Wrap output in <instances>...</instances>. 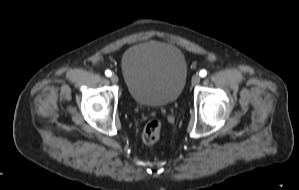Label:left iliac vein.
Instances as JSON below:
<instances>
[{
    "label": "left iliac vein",
    "instance_id": "4c4485c4",
    "mask_svg": "<svg viewBox=\"0 0 299 190\" xmlns=\"http://www.w3.org/2000/svg\"><path fill=\"white\" fill-rule=\"evenodd\" d=\"M200 82V76L198 74L193 75L191 79L192 86L197 85Z\"/></svg>",
    "mask_w": 299,
    "mask_h": 190
}]
</instances>
